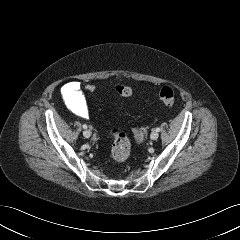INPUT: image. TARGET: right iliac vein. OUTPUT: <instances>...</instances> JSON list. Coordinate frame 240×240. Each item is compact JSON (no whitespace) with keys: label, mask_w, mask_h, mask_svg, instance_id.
I'll list each match as a JSON object with an SVG mask.
<instances>
[{"label":"right iliac vein","mask_w":240,"mask_h":240,"mask_svg":"<svg viewBox=\"0 0 240 240\" xmlns=\"http://www.w3.org/2000/svg\"><path fill=\"white\" fill-rule=\"evenodd\" d=\"M83 136L85 138H89L91 136V132L89 130H85V131H83Z\"/></svg>","instance_id":"63e3f726"}]
</instances>
